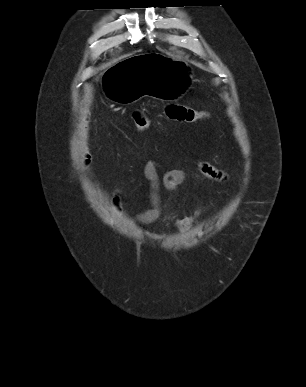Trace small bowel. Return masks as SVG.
<instances>
[{
	"mask_svg": "<svg viewBox=\"0 0 306 387\" xmlns=\"http://www.w3.org/2000/svg\"><path fill=\"white\" fill-rule=\"evenodd\" d=\"M86 131V127H85ZM90 163V156L84 154L82 164L88 166ZM144 176L149 182L150 192L149 198L151 208L141 212L137 216V220L143 224H149L157 221L160 217V189L164 187L166 190L177 194L180 191L181 186L187 179V174L183 170L173 169L166 171L162 176L159 174V164L155 161H149L144 165ZM195 178L198 181H216L223 182L227 179V175L224 171L218 169L207 161H200L198 163L197 173ZM121 190L116 189L113 194V208L116 213L121 211ZM205 208L198 209L192 215L176 220L175 226L180 231L188 230L191 225L205 212Z\"/></svg>",
	"mask_w": 306,
	"mask_h": 387,
	"instance_id": "small-bowel-1",
	"label": "small bowel"
}]
</instances>
